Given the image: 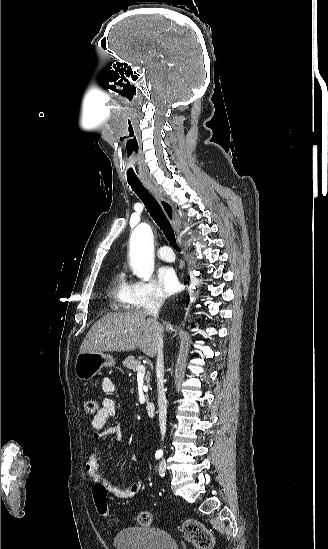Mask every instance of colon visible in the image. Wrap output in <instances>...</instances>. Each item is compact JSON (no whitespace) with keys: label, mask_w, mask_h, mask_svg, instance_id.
Wrapping results in <instances>:
<instances>
[{"label":"colon","mask_w":328,"mask_h":549,"mask_svg":"<svg viewBox=\"0 0 328 549\" xmlns=\"http://www.w3.org/2000/svg\"><path fill=\"white\" fill-rule=\"evenodd\" d=\"M84 410L87 414L98 412V403L95 398L87 396L84 399ZM93 498L97 513L101 518L109 522V509L107 505V489L103 482H95L93 485ZM137 521L142 527H149L153 522L150 511H141ZM183 537L198 549H211L214 545V537L211 531L199 521L190 519L182 525Z\"/></svg>","instance_id":"1"}]
</instances>
